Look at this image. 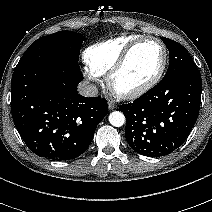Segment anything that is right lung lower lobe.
<instances>
[{"label":"right lung lower lobe","mask_w":212,"mask_h":212,"mask_svg":"<svg viewBox=\"0 0 212 212\" xmlns=\"http://www.w3.org/2000/svg\"><path fill=\"white\" fill-rule=\"evenodd\" d=\"M82 79L79 66L63 61H36L14 70L12 117L23 141L36 155L70 160L90 145L108 106L104 98L78 94Z\"/></svg>","instance_id":"obj_1"}]
</instances>
